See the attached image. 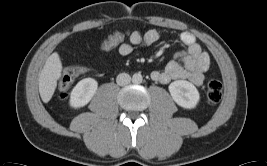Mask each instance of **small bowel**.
<instances>
[{
  "label": "small bowel",
  "instance_id": "c3829d8e",
  "mask_svg": "<svg viewBox=\"0 0 267 166\" xmlns=\"http://www.w3.org/2000/svg\"><path fill=\"white\" fill-rule=\"evenodd\" d=\"M160 37V33L155 29H150L145 33L134 31L129 35V40L123 41L122 45L118 47V52L122 56H128L138 45H151L157 42ZM179 39L185 48L177 50L174 59L162 71H153L151 79L162 84H167L173 80H189L200 86L204 81V74L209 68V55L201 49L193 34L183 32ZM68 71H72L77 77L86 70L82 67H73Z\"/></svg>",
  "mask_w": 267,
  "mask_h": 166
}]
</instances>
